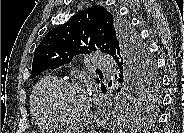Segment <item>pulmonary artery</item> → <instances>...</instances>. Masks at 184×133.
<instances>
[{
  "label": "pulmonary artery",
  "instance_id": "obj_1",
  "mask_svg": "<svg viewBox=\"0 0 184 133\" xmlns=\"http://www.w3.org/2000/svg\"><path fill=\"white\" fill-rule=\"evenodd\" d=\"M92 62L99 70H110L114 68V64L111 58L106 55L97 54L92 56Z\"/></svg>",
  "mask_w": 184,
  "mask_h": 133
}]
</instances>
